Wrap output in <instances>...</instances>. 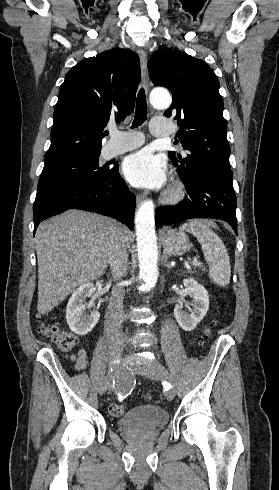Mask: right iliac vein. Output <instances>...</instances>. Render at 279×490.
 <instances>
[{
  "label": "right iliac vein",
  "instance_id": "1",
  "mask_svg": "<svg viewBox=\"0 0 279 490\" xmlns=\"http://www.w3.org/2000/svg\"><path fill=\"white\" fill-rule=\"evenodd\" d=\"M109 364H110V369L111 370H110L109 376H106L104 378L103 382H101V384H100V388H99V393L100 394H103L107 389H110L111 388V383H112L114 374L117 371L118 361H117V357H116V352L115 351H113L110 354Z\"/></svg>",
  "mask_w": 279,
  "mask_h": 490
}]
</instances>
